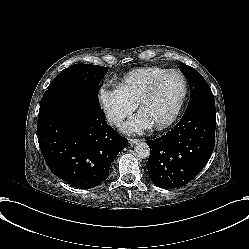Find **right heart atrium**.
<instances>
[{
  "instance_id": "d8ad5b80",
  "label": "right heart atrium",
  "mask_w": 249,
  "mask_h": 249,
  "mask_svg": "<svg viewBox=\"0 0 249 249\" xmlns=\"http://www.w3.org/2000/svg\"><path fill=\"white\" fill-rule=\"evenodd\" d=\"M101 100L107 114L112 121H118L131 113V106L117 93L101 92Z\"/></svg>"
}]
</instances>
